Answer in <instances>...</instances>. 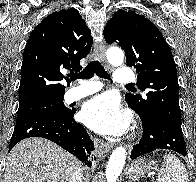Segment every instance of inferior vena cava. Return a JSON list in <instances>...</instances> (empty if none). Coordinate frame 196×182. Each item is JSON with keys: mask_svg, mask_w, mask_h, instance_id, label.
<instances>
[{"mask_svg": "<svg viewBox=\"0 0 196 182\" xmlns=\"http://www.w3.org/2000/svg\"><path fill=\"white\" fill-rule=\"evenodd\" d=\"M70 182H82V173L81 168L78 166L75 171L72 173L71 181Z\"/></svg>", "mask_w": 196, "mask_h": 182, "instance_id": "602c4592", "label": "inferior vena cava"}]
</instances>
